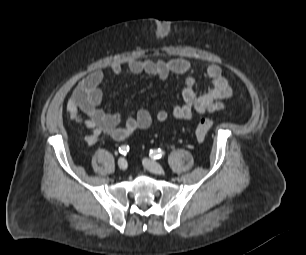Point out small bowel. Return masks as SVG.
I'll use <instances>...</instances> for the list:
<instances>
[{
    "label": "small bowel",
    "instance_id": "c3829d8e",
    "mask_svg": "<svg viewBox=\"0 0 306 255\" xmlns=\"http://www.w3.org/2000/svg\"><path fill=\"white\" fill-rule=\"evenodd\" d=\"M116 75L146 74L156 76L165 81L169 76H186L182 91V103L173 106L171 114L179 120H189L194 112L211 113L219 111L232 96L229 80L223 75L222 69L216 64L209 65L205 77L211 81V86L204 92L196 90V81L192 75L191 64L182 58L170 60H132L125 67L116 63L111 68ZM104 72L96 70L80 80L72 97L67 102L69 117L74 122L85 126L90 133L85 136L87 145H94L103 134H108L114 140L122 141L129 138L137 130H146L153 121L165 122L169 118L167 110H159L153 116L147 109H139L128 116L123 125L119 113H109L102 109L103 93L101 84Z\"/></svg>",
    "mask_w": 306,
    "mask_h": 255
}]
</instances>
